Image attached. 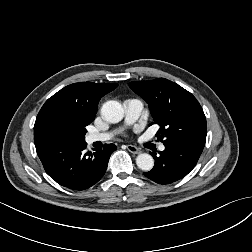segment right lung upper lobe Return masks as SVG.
<instances>
[{"label":"right lung upper lobe","instance_id":"1","mask_svg":"<svg viewBox=\"0 0 252 252\" xmlns=\"http://www.w3.org/2000/svg\"><path fill=\"white\" fill-rule=\"evenodd\" d=\"M117 86V83L80 82L64 87L50 97L39 111L34 138L52 120L86 127L95 118L99 100Z\"/></svg>","mask_w":252,"mask_h":252}]
</instances>
